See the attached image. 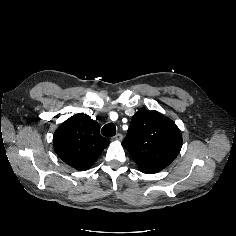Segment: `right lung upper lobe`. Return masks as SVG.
<instances>
[{
    "label": "right lung upper lobe",
    "mask_w": 236,
    "mask_h": 236,
    "mask_svg": "<svg viewBox=\"0 0 236 236\" xmlns=\"http://www.w3.org/2000/svg\"><path fill=\"white\" fill-rule=\"evenodd\" d=\"M53 141L58 157L79 171L89 169L110 143L100 135L98 123L83 113L63 122Z\"/></svg>",
    "instance_id": "cb5924a9"
}]
</instances>
